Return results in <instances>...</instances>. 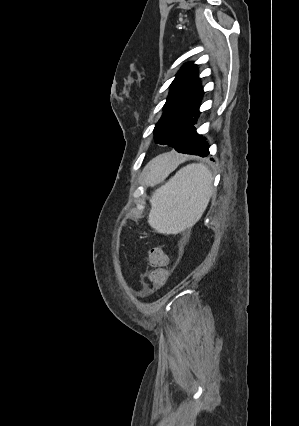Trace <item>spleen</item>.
Returning a JSON list of instances; mask_svg holds the SVG:
<instances>
[{"label": "spleen", "mask_w": 299, "mask_h": 426, "mask_svg": "<svg viewBox=\"0 0 299 426\" xmlns=\"http://www.w3.org/2000/svg\"><path fill=\"white\" fill-rule=\"evenodd\" d=\"M212 174L204 164L181 168L150 199L149 225L163 234H177L202 216L212 194Z\"/></svg>", "instance_id": "1"}]
</instances>
